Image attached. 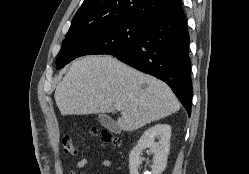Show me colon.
<instances>
[{"label": "colon", "mask_w": 249, "mask_h": 174, "mask_svg": "<svg viewBox=\"0 0 249 174\" xmlns=\"http://www.w3.org/2000/svg\"><path fill=\"white\" fill-rule=\"evenodd\" d=\"M93 134L100 140L103 145L117 146L120 144L119 138L114 136L113 133L108 130H93ZM62 145L65 154H77V147L74 141L69 136H65L62 139Z\"/></svg>", "instance_id": "1"}]
</instances>
